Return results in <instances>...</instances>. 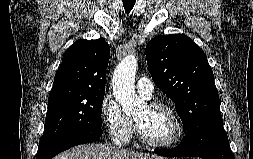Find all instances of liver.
I'll use <instances>...</instances> for the list:
<instances>
[{
	"instance_id": "6515ba94",
	"label": "liver",
	"mask_w": 253,
	"mask_h": 159,
	"mask_svg": "<svg viewBox=\"0 0 253 159\" xmlns=\"http://www.w3.org/2000/svg\"><path fill=\"white\" fill-rule=\"evenodd\" d=\"M150 157L159 156L91 143L73 147L53 159H148Z\"/></svg>"
}]
</instances>
